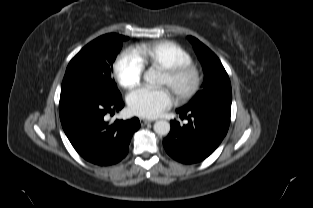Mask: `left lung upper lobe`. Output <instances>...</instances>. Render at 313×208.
I'll return each instance as SVG.
<instances>
[{"mask_svg":"<svg viewBox=\"0 0 313 208\" xmlns=\"http://www.w3.org/2000/svg\"><path fill=\"white\" fill-rule=\"evenodd\" d=\"M204 71V89L182 108H192L203 104H225L232 102L231 83L219 58L198 39L189 36Z\"/></svg>","mask_w":313,"mask_h":208,"instance_id":"obj_1","label":"left lung upper lobe"}]
</instances>
